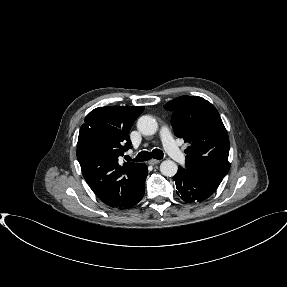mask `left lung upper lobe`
<instances>
[{"mask_svg":"<svg viewBox=\"0 0 287 287\" xmlns=\"http://www.w3.org/2000/svg\"><path fill=\"white\" fill-rule=\"evenodd\" d=\"M173 112L175 135L190 144L188 173L222 179L229 171V138L216 108L198 96H181L164 105Z\"/></svg>","mask_w":287,"mask_h":287,"instance_id":"5c2ea615","label":"left lung upper lobe"}]
</instances>
